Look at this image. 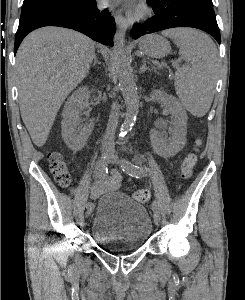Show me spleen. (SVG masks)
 Wrapping results in <instances>:
<instances>
[{
	"mask_svg": "<svg viewBox=\"0 0 245 300\" xmlns=\"http://www.w3.org/2000/svg\"><path fill=\"white\" fill-rule=\"evenodd\" d=\"M172 38L188 66L175 75L176 93L183 106L194 116H204L213 100L218 52L213 41L194 29L177 28L162 32Z\"/></svg>",
	"mask_w": 245,
	"mask_h": 300,
	"instance_id": "obj_1",
	"label": "spleen"
}]
</instances>
